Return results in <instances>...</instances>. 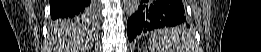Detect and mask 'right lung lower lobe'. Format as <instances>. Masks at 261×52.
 I'll list each match as a JSON object with an SVG mask.
<instances>
[{"label": "right lung lower lobe", "mask_w": 261, "mask_h": 52, "mask_svg": "<svg viewBox=\"0 0 261 52\" xmlns=\"http://www.w3.org/2000/svg\"><path fill=\"white\" fill-rule=\"evenodd\" d=\"M51 18H74L81 15L95 17L98 2L93 0H50Z\"/></svg>", "instance_id": "obj_1"}]
</instances>
